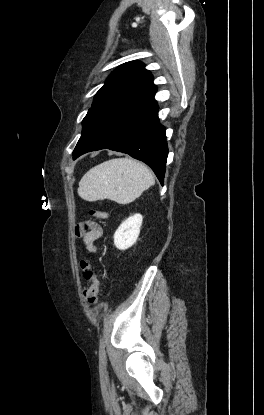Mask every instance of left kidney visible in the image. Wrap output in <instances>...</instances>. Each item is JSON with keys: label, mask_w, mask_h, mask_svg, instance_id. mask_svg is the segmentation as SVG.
<instances>
[{"label": "left kidney", "mask_w": 264, "mask_h": 415, "mask_svg": "<svg viewBox=\"0 0 264 415\" xmlns=\"http://www.w3.org/2000/svg\"><path fill=\"white\" fill-rule=\"evenodd\" d=\"M142 221L141 214H134L120 224L114 234V245L117 249L126 250L136 243Z\"/></svg>", "instance_id": "5707ae66"}]
</instances>
